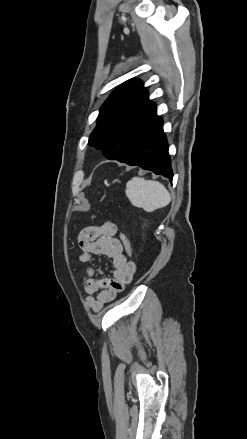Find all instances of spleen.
I'll return each mask as SVG.
<instances>
[{"instance_id":"3e777b00","label":"spleen","mask_w":247,"mask_h":439,"mask_svg":"<svg viewBox=\"0 0 247 439\" xmlns=\"http://www.w3.org/2000/svg\"><path fill=\"white\" fill-rule=\"evenodd\" d=\"M126 196L133 206L149 213L167 206L171 201L170 194L163 184L140 177H133L127 182Z\"/></svg>"}]
</instances>
